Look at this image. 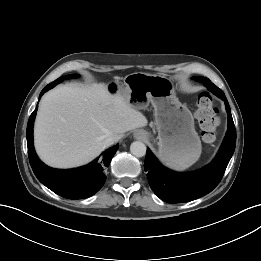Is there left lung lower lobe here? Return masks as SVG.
I'll list each match as a JSON object with an SVG mask.
<instances>
[{"instance_id":"0a47b994","label":"left lung lower lobe","mask_w":261,"mask_h":261,"mask_svg":"<svg viewBox=\"0 0 261 261\" xmlns=\"http://www.w3.org/2000/svg\"><path fill=\"white\" fill-rule=\"evenodd\" d=\"M194 80L202 82L211 92L224 100L228 113V130L214 160L204 168L190 173H178L165 168L147 148L144 169L148 172L150 187L161 200L168 203L192 201L211 192L222 179L235 150L236 130L224 93L208 78L196 77Z\"/></svg>"}]
</instances>
